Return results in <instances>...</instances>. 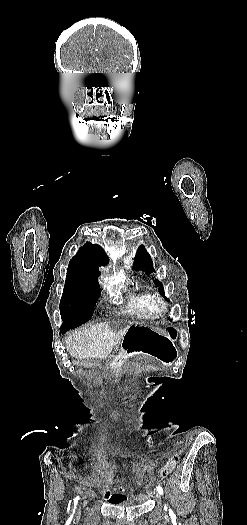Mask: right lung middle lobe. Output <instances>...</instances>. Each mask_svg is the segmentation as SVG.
Masks as SVG:
<instances>
[{"label": "right lung middle lobe", "mask_w": 247, "mask_h": 525, "mask_svg": "<svg viewBox=\"0 0 247 525\" xmlns=\"http://www.w3.org/2000/svg\"><path fill=\"white\" fill-rule=\"evenodd\" d=\"M97 275L67 272L65 287L60 300L61 327L75 328L93 315L100 294Z\"/></svg>", "instance_id": "dd1d6c3e"}]
</instances>
